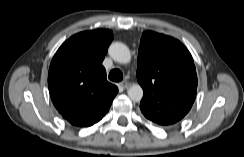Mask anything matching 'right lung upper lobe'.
Segmentation results:
<instances>
[{
	"mask_svg": "<svg viewBox=\"0 0 244 157\" xmlns=\"http://www.w3.org/2000/svg\"><path fill=\"white\" fill-rule=\"evenodd\" d=\"M110 30L78 33L54 55L48 73L52 102L74 126L88 127L108 112L118 88L106 79L102 61L111 41Z\"/></svg>",
	"mask_w": 244,
	"mask_h": 157,
	"instance_id": "1",
	"label": "right lung upper lobe"
}]
</instances>
